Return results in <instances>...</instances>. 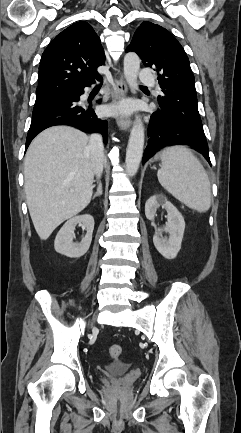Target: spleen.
<instances>
[{
    "label": "spleen",
    "mask_w": 241,
    "mask_h": 433,
    "mask_svg": "<svg viewBox=\"0 0 241 433\" xmlns=\"http://www.w3.org/2000/svg\"><path fill=\"white\" fill-rule=\"evenodd\" d=\"M162 166L157 172L161 186L177 200L197 212L211 206V186L200 161L186 147L174 146L161 154Z\"/></svg>",
    "instance_id": "obj_1"
}]
</instances>
